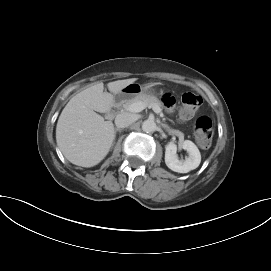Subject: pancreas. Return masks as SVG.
Wrapping results in <instances>:
<instances>
[{
	"label": "pancreas",
	"mask_w": 271,
	"mask_h": 271,
	"mask_svg": "<svg viewBox=\"0 0 271 271\" xmlns=\"http://www.w3.org/2000/svg\"><path fill=\"white\" fill-rule=\"evenodd\" d=\"M136 102H143L146 104V106H158L159 108L162 107L161 102L154 96L146 95V94H140L134 98L128 99L124 102L123 107L125 109L128 108L129 105L136 103Z\"/></svg>",
	"instance_id": "1"
}]
</instances>
